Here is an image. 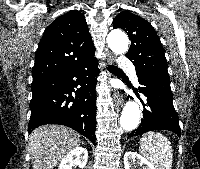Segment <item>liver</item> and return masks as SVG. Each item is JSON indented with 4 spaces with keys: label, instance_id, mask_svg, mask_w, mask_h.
Segmentation results:
<instances>
[{
    "label": "liver",
    "instance_id": "6515ba94",
    "mask_svg": "<svg viewBox=\"0 0 200 169\" xmlns=\"http://www.w3.org/2000/svg\"><path fill=\"white\" fill-rule=\"evenodd\" d=\"M81 141L79 134L61 125H44L33 130L29 137L33 169H53Z\"/></svg>",
    "mask_w": 200,
    "mask_h": 169
}]
</instances>
